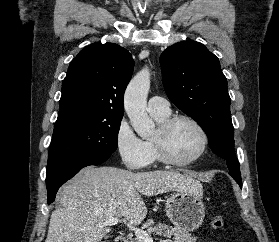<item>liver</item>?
<instances>
[{
    "label": "liver",
    "mask_w": 279,
    "mask_h": 242,
    "mask_svg": "<svg viewBox=\"0 0 279 242\" xmlns=\"http://www.w3.org/2000/svg\"><path fill=\"white\" fill-rule=\"evenodd\" d=\"M194 190H201L200 183L175 171L86 167L60 188L45 242H100L112 231L103 226L106 220L123 217L132 225L144 220L142 195Z\"/></svg>",
    "instance_id": "6515ba94"
}]
</instances>
